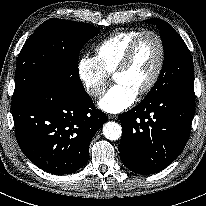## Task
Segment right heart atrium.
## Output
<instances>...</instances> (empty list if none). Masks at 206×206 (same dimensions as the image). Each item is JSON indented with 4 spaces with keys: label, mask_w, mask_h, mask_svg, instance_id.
<instances>
[{
    "label": "right heart atrium",
    "mask_w": 206,
    "mask_h": 206,
    "mask_svg": "<svg viewBox=\"0 0 206 206\" xmlns=\"http://www.w3.org/2000/svg\"><path fill=\"white\" fill-rule=\"evenodd\" d=\"M78 76L89 96L99 98L103 95L108 83V74L96 57L83 56L79 60Z\"/></svg>",
    "instance_id": "right-heart-atrium-1"
}]
</instances>
